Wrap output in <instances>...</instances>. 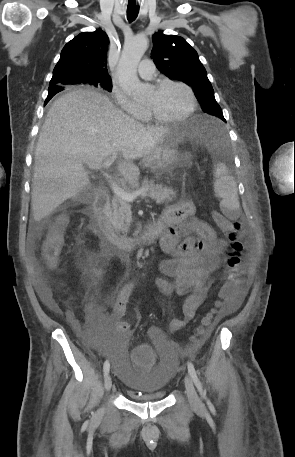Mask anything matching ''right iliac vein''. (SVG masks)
Here are the masks:
<instances>
[{"mask_svg":"<svg viewBox=\"0 0 295 457\" xmlns=\"http://www.w3.org/2000/svg\"><path fill=\"white\" fill-rule=\"evenodd\" d=\"M111 386H112V379H111V376L109 374H107L105 377V381H104L105 390L107 392H109L111 389Z\"/></svg>","mask_w":295,"mask_h":457,"instance_id":"obj_1","label":"right iliac vein"}]
</instances>
